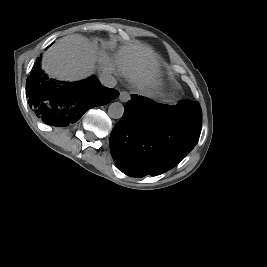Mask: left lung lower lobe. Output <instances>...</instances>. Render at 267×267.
I'll use <instances>...</instances> for the list:
<instances>
[{"mask_svg": "<svg viewBox=\"0 0 267 267\" xmlns=\"http://www.w3.org/2000/svg\"><path fill=\"white\" fill-rule=\"evenodd\" d=\"M201 124L198 102L181 100L171 106L132 94L112 130L111 155L128 176L162 174L178 165L194 148Z\"/></svg>", "mask_w": 267, "mask_h": 267, "instance_id": "0a47b994", "label": "left lung lower lobe"}]
</instances>
